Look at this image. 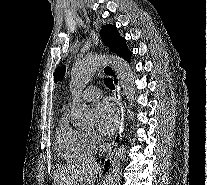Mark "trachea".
I'll return each instance as SVG.
<instances>
[{
  "mask_svg": "<svg viewBox=\"0 0 207 185\" xmlns=\"http://www.w3.org/2000/svg\"><path fill=\"white\" fill-rule=\"evenodd\" d=\"M105 84L108 88H111L112 90H114L115 86L113 85V81L111 78H106Z\"/></svg>",
  "mask_w": 207,
  "mask_h": 185,
  "instance_id": "obj_1",
  "label": "trachea"
}]
</instances>
